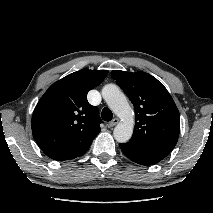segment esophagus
Here are the masks:
<instances>
[{
    "label": "esophagus",
    "instance_id": "obj_1",
    "mask_svg": "<svg viewBox=\"0 0 213 213\" xmlns=\"http://www.w3.org/2000/svg\"><path fill=\"white\" fill-rule=\"evenodd\" d=\"M119 119L114 118L111 122H109V127H114L116 124H118Z\"/></svg>",
    "mask_w": 213,
    "mask_h": 213
}]
</instances>
